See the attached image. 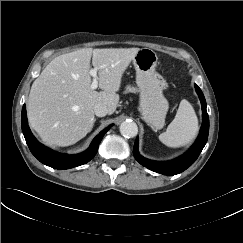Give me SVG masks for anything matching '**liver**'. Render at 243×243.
<instances>
[{
	"label": "liver",
	"instance_id": "liver-1",
	"mask_svg": "<svg viewBox=\"0 0 243 243\" xmlns=\"http://www.w3.org/2000/svg\"><path fill=\"white\" fill-rule=\"evenodd\" d=\"M139 48H83L54 58L33 82L27 115L31 127L50 146H70L93 128L98 103L113 114L122 76ZM90 62L102 90L91 89ZM102 66V67H101Z\"/></svg>",
	"mask_w": 243,
	"mask_h": 243
}]
</instances>
